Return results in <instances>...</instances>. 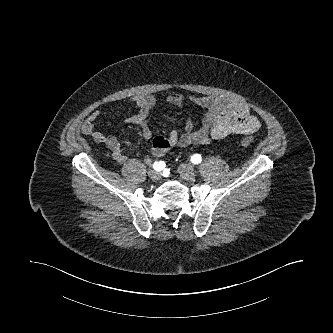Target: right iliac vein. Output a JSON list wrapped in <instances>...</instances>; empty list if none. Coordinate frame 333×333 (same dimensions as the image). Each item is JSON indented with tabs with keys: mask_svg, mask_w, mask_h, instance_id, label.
Masks as SVG:
<instances>
[{
	"mask_svg": "<svg viewBox=\"0 0 333 333\" xmlns=\"http://www.w3.org/2000/svg\"><path fill=\"white\" fill-rule=\"evenodd\" d=\"M148 176L151 178V180L158 181L161 178V173L159 171L151 169L148 171Z\"/></svg>",
	"mask_w": 333,
	"mask_h": 333,
	"instance_id": "1",
	"label": "right iliac vein"
}]
</instances>
